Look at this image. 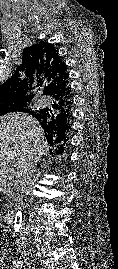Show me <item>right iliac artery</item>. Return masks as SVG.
I'll use <instances>...</instances> for the list:
<instances>
[{"label": "right iliac artery", "instance_id": "82829eb1", "mask_svg": "<svg viewBox=\"0 0 118 269\" xmlns=\"http://www.w3.org/2000/svg\"><path fill=\"white\" fill-rule=\"evenodd\" d=\"M15 266L14 269H21L22 268V263L20 261H15Z\"/></svg>", "mask_w": 118, "mask_h": 269}]
</instances>
